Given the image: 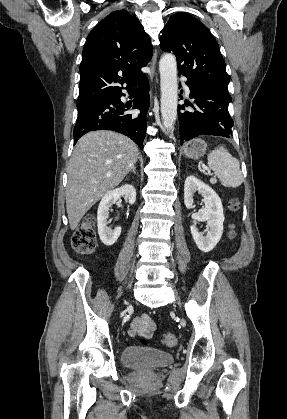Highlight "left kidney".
Instances as JSON below:
<instances>
[{
  "label": "left kidney",
  "instance_id": "obj_1",
  "mask_svg": "<svg viewBox=\"0 0 287 419\" xmlns=\"http://www.w3.org/2000/svg\"><path fill=\"white\" fill-rule=\"evenodd\" d=\"M198 192L203 197L205 208L192 214L194 222L207 221L208 231L204 236L195 224L191 226V234L198 248L203 252L211 251L219 242L223 233V206L220 197L207 184L190 175L184 184V203L188 209L193 206V194Z\"/></svg>",
  "mask_w": 287,
  "mask_h": 419
}]
</instances>
